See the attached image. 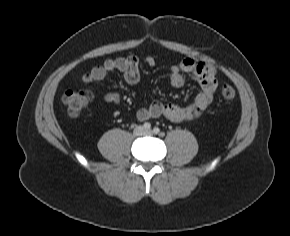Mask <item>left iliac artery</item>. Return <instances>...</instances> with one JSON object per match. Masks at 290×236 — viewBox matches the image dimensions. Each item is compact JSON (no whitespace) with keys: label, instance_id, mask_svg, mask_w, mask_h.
Here are the masks:
<instances>
[{"label":"left iliac artery","instance_id":"44dca946","mask_svg":"<svg viewBox=\"0 0 290 236\" xmlns=\"http://www.w3.org/2000/svg\"><path fill=\"white\" fill-rule=\"evenodd\" d=\"M153 132H154L155 134H159V133H160V129H159L158 127H154V128H153Z\"/></svg>","mask_w":290,"mask_h":236}]
</instances>
